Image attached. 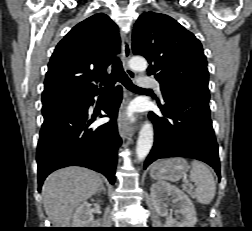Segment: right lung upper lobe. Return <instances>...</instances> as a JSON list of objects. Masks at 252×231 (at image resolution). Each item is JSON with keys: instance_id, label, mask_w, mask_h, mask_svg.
<instances>
[{"instance_id": "1", "label": "right lung upper lobe", "mask_w": 252, "mask_h": 231, "mask_svg": "<svg viewBox=\"0 0 252 231\" xmlns=\"http://www.w3.org/2000/svg\"><path fill=\"white\" fill-rule=\"evenodd\" d=\"M119 47L117 25L103 13L74 26L51 56L42 101L99 92L96 82L108 77Z\"/></svg>"}]
</instances>
